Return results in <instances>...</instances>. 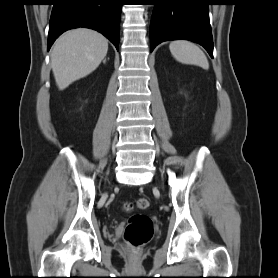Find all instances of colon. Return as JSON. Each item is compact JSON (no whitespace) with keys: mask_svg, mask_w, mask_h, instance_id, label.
Returning a JSON list of instances; mask_svg holds the SVG:
<instances>
[{"mask_svg":"<svg viewBox=\"0 0 278 278\" xmlns=\"http://www.w3.org/2000/svg\"><path fill=\"white\" fill-rule=\"evenodd\" d=\"M150 203L146 198H139L135 202L127 205L128 209L146 210ZM125 239L129 245L137 250L145 245L153 236V223L149 216L145 214H134L129 219L125 229Z\"/></svg>","mask_w":278,"mask_h":278,"instance_id":"obj_1","label":"colon"}]
</instances>
